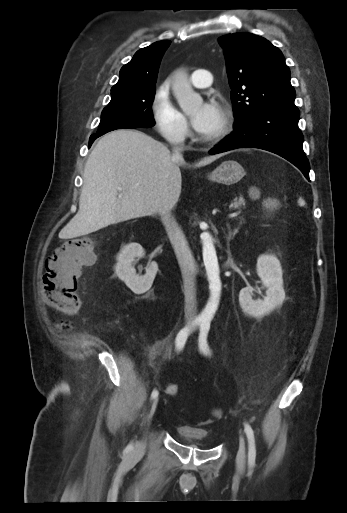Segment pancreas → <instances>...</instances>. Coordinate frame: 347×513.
<instances>
[{
  "instance_id": "obj_1",
  "label": "pancreas",
  "mask_w": 347,
  "mask_h": 513,
  "mask_svg": "<svg viewBox=\"0 0 347 513\" xmlns=\"http://www.w3.org/2000/svg\"><path fill=\"white\" fill-rule=\"evenodd\" d=\"M230 210H237L238 212H241V208H242V202L241 201H238V198H235L231 205L229 206ZM240 221H244V218L243 216H240L239 217Z\"/></svg>"
}]
</instances>
